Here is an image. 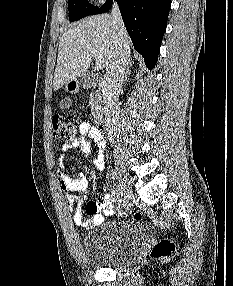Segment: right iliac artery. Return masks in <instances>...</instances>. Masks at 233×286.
Returning <instances> with one entry per match:
<instances>
[{
    "label": "right iliac artery",
    "mask_w": 233,
    "mask_h": 286,
    "mask_svg": "<svg viewBox=\"0 0 233 286\" xmlns=\"http://www.w3.org/2000/svg\"><path fill=\"white\" fill-rule=\"evenodd\" d=\"M112 197H113L114 201L120 200V192H119V189L117 187L113 188Z\"/></svg>",
    "instance_id": "obj_1"
}]
</instances>
